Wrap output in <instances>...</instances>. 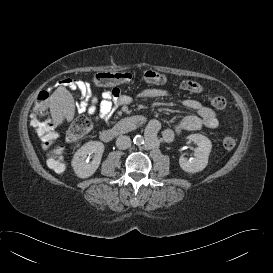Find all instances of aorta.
I'll use <instances>...</instances> for the list:
<instances>
[{"instance_id":"762f6f07","label":"aorta","mask_w":273,"mask_h":273,"mask_svg":"<svg viewBox=\"0 0 273 273\" xmlns=\"http://www.w3.org/2000/svg\"><path fill=\"white\" fill-rule=\"evenodd\" d=\"M133 141L136 145H141L144 143V138L141 135H136Z\"/></svg>"}]
</instances>
